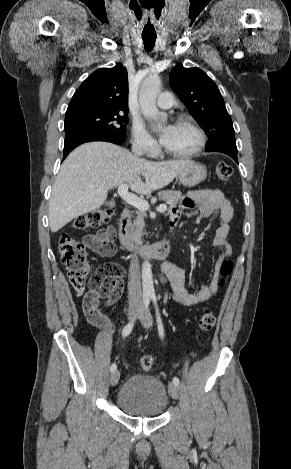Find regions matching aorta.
<instances>
[{"label":"aorta","mask_w":291,"mask_h":469,"mask_svg":"<svg viewBox=\"0 0 291 469\" xmlns=\"http://www.w3.org/2000/svg\"><path fill=\"white\" fill-rule=\"evenodd\" d=\"M160 87V77L158 75L149 76L143 81L139 93V104L143 116L159 125L167 121V115L159 112L156 105ZM142 286L145 294H154L152 269L148 260H145L142 265Z\"/></svg>","instance_id":"obj_1"}]
</instances>
